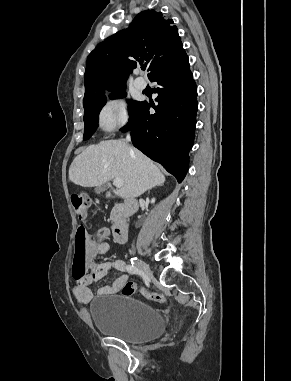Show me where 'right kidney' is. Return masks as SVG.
<instances>
[{
	"instance_id": "obj_1",
	"label": "right kidney",
	"mask_w": 291,
	"mask_h": 381,
	"mask_svg": "<svg viewBox=\"0 0 291 381\" xmlns=\"http://www.w3.org/2000/svg\"><path fill=\"white\" fill-rule=\"evenodd\" d=\"M155 202V199L153 198L152 200H151V203L153 204Z\"/></svg>"
}]
</instances>
